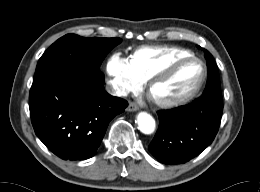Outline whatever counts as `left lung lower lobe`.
Instances as JSON below:
<instances>
[{
    "label": "left lung lower lobe",
    "mask_w": 260,
    "mask_h": 192,
    "mask_svg": "<svg viewBox=\"0 0 260 192\" xmlns=\"http://www.w3.org/2000/svg\"><path fill=\"white\" fill-rule=\"evenodd\" d=\"M222 111L219 93L203 94L188 105L158 111L159 128L149 151L165 164L186 163L212 143Z\"/></svg>",
    "instance_id": "1"
}]
</instances>
